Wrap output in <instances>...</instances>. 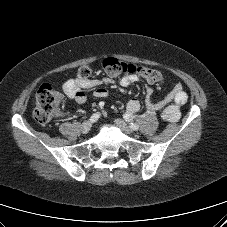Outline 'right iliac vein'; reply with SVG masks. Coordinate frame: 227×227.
<instances>
[{"mask_svg": "<svg viewBox=\"0 0 227 227\" xmlns=\"http://www.w3.org/2000/svg\"><path fill=\"white\" fill-rule=\"evenodd\" d=\"M91 122H89V121H87V122H84L83 124H82V133L83 134H86V133H88V131L90 130V128H91Z\"/></svg>", "mask_w": 227, "mask_h": 227, "instance_id": "right-iliac-vein-1", "label": "right iliac vein"}]
</instances>
